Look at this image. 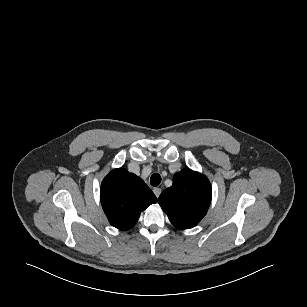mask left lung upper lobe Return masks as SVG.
Wrapping results in <instances>:
<instances>
[{
	"instance_id": "1",
	"label": "left lung upper lobe",
	"mask_w": 307,
	"mask_h": 307,
	"mask_svg": "<svg viewBox=\"0 0 307 307\" xmlns=\"http://www.w3.org/2000/svg\"><path fill=\"white\" fill-rule=\"evenodd\" d=\"M212 197L206 176L184 169L173 177V185L159 196V204L178 229L196 226L205 216Z\"/></svg>"
}]
</instances>
